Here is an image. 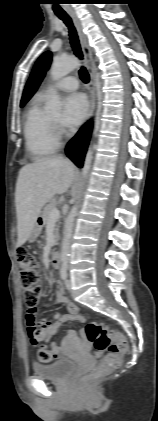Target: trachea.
I'll return each mask as SVG.
<instances>
[{
    "label": "trachea",
    "instance_id": "3493384b",
    "mask_svg": "<svg viewBox=\"0 0 158 421\" xmlns=\"http://www.w3.org/2000/svg\"><path fill=\"white\" fill-rule=\"evenodd\" d=\"M56 15L66 24V26L69 29V36H70V43L71 46L73 48L74 53L76 54V56H78L80 59H82L83 55H82V51L80 48V44H79V39L76 33V30L73 26L72 20L71 18L66 14V13H56ZM79 75L81 80L84 83H88L89 82V74L86 70L85 67H81V69L79 70Z\"/></svg>",
    "mask_w": 158,
    "mask_h": 421
}]
</instances>
